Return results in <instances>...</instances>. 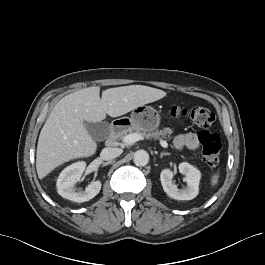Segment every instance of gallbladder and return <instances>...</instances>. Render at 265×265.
I'll return each instance as SVG.
<instances>
[{
  "label": "gallbladder",
  "instance_id": "obj_1",
  "mask_svg": "<svg viewBox=\"0 0 265 265\" xmlns=\"http://www.w3.org/2000/svg\"><path fill=\"white\" fill-rule=\"evenodd\" d=\"M85 125L88 129L89 134L95 140H104L109 134L110 126L105 121L97 123L87 122L85 123Z\"/></svg>",
  "mask_w": 265,
  "mask_h": 265
}]
</instances>
